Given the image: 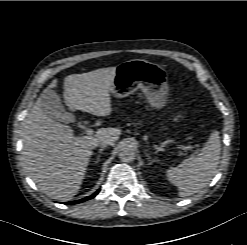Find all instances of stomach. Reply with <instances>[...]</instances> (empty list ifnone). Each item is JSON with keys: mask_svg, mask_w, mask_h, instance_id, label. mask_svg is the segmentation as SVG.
<instances>
[{"mask_svg": "<svg viewBox=\"0 0 247 245\" xmlns=\"http://www.w3.org/2000/svg\"><path fill=\"white\" fill-rule=\"evenodd\" d=\"M137 89H141L152 107H164L168 98V76L165 69L144 59L120 63L116 67L111 93L124 98Z\"/></svg>", "mask_w": 247, "mask_h": 245, "instance_id": "1", "label": "stomach"}]
</instances>
